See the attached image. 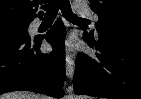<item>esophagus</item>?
<instances>
[{"label": "esophagus", "instance_id": "obj_1", "mask_svg": "<svg viewBox=\"0 0 141 99\" xmlns=\"http://www.w3.org/2000/svg\"><path fill=\"white\" fill-rule=\"evenodd\" d=\"M74 59H73V56L71 54H68L66 56V76L69 78V79H73V76H74ZM73 90V87L72 86H69L68 87V92H72Z\"/></svg>", "mask_w": 141, "mask_h": 99}]
</instances>
